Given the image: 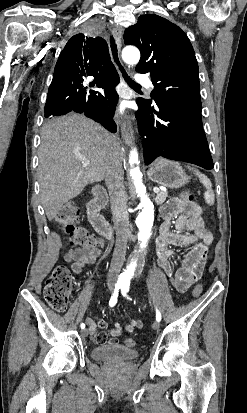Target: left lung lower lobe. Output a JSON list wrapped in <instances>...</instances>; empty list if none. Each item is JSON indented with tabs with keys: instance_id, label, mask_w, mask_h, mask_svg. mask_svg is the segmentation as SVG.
<instances>
[{
	"instance_id": "0a47b994",
	"label": "left lung lower lobe",
	"mask_w": 247,
	"mask_h": 413,
	"mask_svg": "<svg viewBox=\"0 0 247 413\" xmlns=\"http://www.w3.org/2000/svg\"><path fill=\"white\" fill-rule=\"evenodd\" d=\"M138 129L143 136L145 164L159 156L213 169L203 130L201 111L176 103H156V108L137 100Z\"/></svg>"
}]
</instances>
